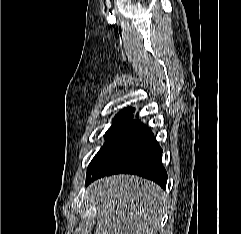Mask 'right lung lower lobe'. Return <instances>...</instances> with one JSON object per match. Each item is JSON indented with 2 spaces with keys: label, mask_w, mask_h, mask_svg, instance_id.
Returning a JSON list of instances; mask_svg holds the SVG:
<instances>
[{
  "label": "right lung lower lobe",
  "mask_w": 241,
  "mask_h": 234,
  "mask_svg": "<svg viewBox=\"0 0 241 234\" xmlns=\"http://www.w3.org/2000/svg\"><path fill=\"white\" fill-rule=\"evenodd\" d=\"M162 149L152 131L129 116L107 138L88 167L87 183L105 175L136 174L166 187Z\"/></svg>",
  "instance_id": "98d812e1"
}]
</instances>
